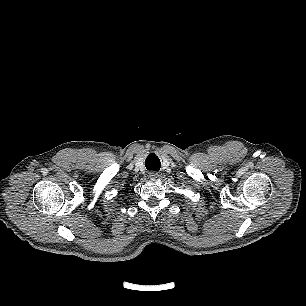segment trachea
<instances>
[{
  "label": "trachea",
  "instance_id": "3493384b",
  "mask_svg": "<svg viewBox=\"0 0 306 306\" xmlns=\"http://www.w3.org/2000/svg\"><path fill=\"white\" fill-rule=\"evenodd\" d=\"M145 166L148 170L159 171L161 163L159 158L152 153L147 157Z\"/></svg>",
  "mask_w": 306,
  "mask_h": 306
}]
</instances>
